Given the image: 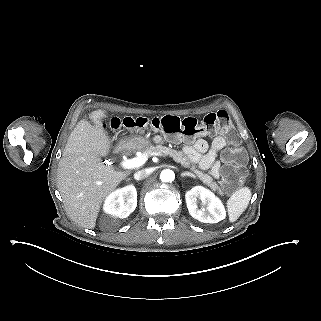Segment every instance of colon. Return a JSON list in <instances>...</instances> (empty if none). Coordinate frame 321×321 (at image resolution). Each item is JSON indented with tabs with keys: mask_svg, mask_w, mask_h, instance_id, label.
<instances>
[{
	"mask_svg": "<svg viewBox=\"0 0 321 321\" xmlns=\"http://www.w3.org/2000/svg\"><path fill=\"white\" fill-rule=\"evenodd\" d=\"M106 127L112 130L136 131L154 129L171 136L180 134L186 137L222 134L228 142V147L222 152L224 161L222 180L225 191L232 193L246 178V152L241 147L239 137L233 130L232 121L225 111L210 113L201 122L194 118L181 119L173 115L154 118H112L106 123Z\"/></svg>",
	"mask_w": 321,
	"mask_h": 321,
	"instance_id": "colon-1",
	"label": "colon"
}]
</instances>
